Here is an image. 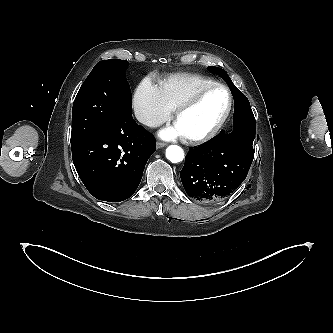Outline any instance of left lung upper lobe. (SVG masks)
<instances>
[{
  "label": "left lung upper lobe",
  "mask_w": 333,
  "mask_h": 333,
  "mask_svg": "<svg viewBox=\"0 0 333 333\" xmlns=\"http://www.w3.org/2000/svg\"><path fill=\"white\" fill-rule=\"evenodd\" d=\"M208 70L212 73L218 74L220 77H222L228 83V85L230 86V88L232 90V93H233L234 97L239 96L241 98H244L245 101L247 102V104L249 103L247 98L234 86V84L232 83L228 74L223 69L211 66V67L208 68Z\"/></svg>",
  "instance_id": "1"
}]
</instances>
